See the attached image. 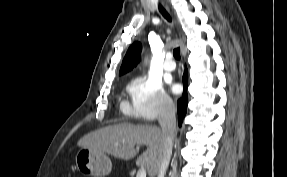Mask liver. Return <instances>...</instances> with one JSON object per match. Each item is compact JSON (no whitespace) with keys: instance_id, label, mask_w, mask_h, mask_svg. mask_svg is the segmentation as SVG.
Wrapping results in <instances>:
<instances>
[{"instance_id":"1","label":"liver","mask_w":287,"mask_h":177,"mask_svg":"<svg viewBox=\"0 0 287 177\" xmlns=\"http://www.w3.org/2000/svg\"><path fill=\"white\" fill-rule=\"evenodd\" d=\"M142 145L147 146V149L137 158L136 165L145 167L148 175L154 177L161 163L163 148L162 131L156 126L124 122L91 132L78 141L80 147L107 153L123 160L134 158Z\"/></svg>"}]
</instances>
